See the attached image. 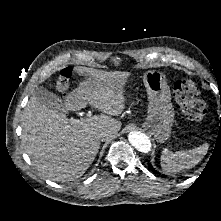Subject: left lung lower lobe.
<instances>
[{
	"instance_id": "0a47b994",
	"label": "left lung lower lobe",
	"mask_w": 221,
	"mask_h": 221,
	"mask_svg": "<svg viewBox=\"0 0 221 221\" xmlns=\"http://www.w3.org/2000/svg\"><path fill=\"white\" fill-rule=\"evenodd\" d=\"M148 167L153 171L155 172L154 168L152 167V165L150 163H148Z\"/></svg>"
}]
</instances>
